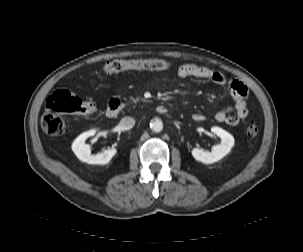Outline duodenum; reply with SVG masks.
<instances>
[{
	"label": "duodenum",
	"mask_w": 303,
	"mask_h": 252,
	"mask_svg": "<svg viewBox=\"0 0 303 252\" xmlns=\"http://www.w3.org/2000/svg\"><path fill=\"white\" fill-rule=\"evenodd\" d=\"M121 109H122V102L119 99L110 101L107 110V117L114 118L121 111ZM156 111L160 114H165L168 112V109L163 105H159L156 107Z\"/></svg>",
	"instance_id": "410a0bca"
}]
</instances>
